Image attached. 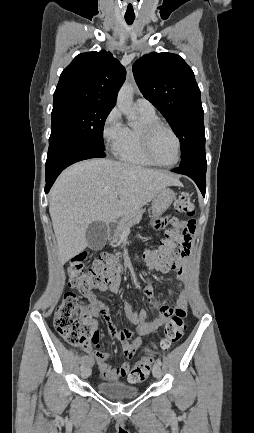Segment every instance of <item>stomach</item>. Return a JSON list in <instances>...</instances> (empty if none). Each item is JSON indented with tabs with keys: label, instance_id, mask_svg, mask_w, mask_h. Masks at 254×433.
Here are the masks:
<instances>
[{
	"label": "stomach",
	"instance_id": "stomach-1",
	"mask_svg": "<svg viewBox=\"0 0 254 433\" xmlns=\"http://www.w3.org/2000/svg\"><path fill=\"white\" fill-rule=\"evenodd\" d=\"M176 196L172 189L163 188L152 200V213L154 217L162 215L175 200Z\"/></svg>",
	"mask_w": 254,
	"mask_h": 433
}]
</instances>
